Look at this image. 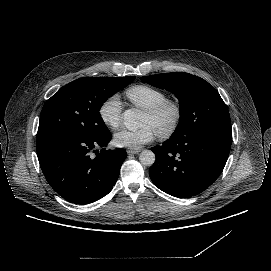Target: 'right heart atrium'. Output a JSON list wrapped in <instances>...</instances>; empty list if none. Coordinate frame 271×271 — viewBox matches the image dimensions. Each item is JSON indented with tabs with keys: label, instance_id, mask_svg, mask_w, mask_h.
Segmentation results:
<instances>
[{
	"label": "right heart atrium",
	"instance_id": "right-heart-atrium-1",
	"mask_svg": "<svg viewBox=\"0 0 271 271\" xmlns=\"http://www.w3.org/2000/svg\"><path fill=\"white\" fill-rule=\"evenodd\" d=\"M123 105L118 93L108 96L98 107L100 120L111 130H116L122 122Z\"/></svg>",
	"mask_w": 271,
	"mask_h": 271
}]
</instances>
